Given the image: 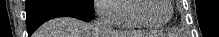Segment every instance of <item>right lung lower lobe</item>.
I'll use <instances>...</instances> for the list:
<instances>
[{
	"label": "right lung lower lobe",
	"instance_id": "obj_1",
	"mask_svg": "<svg viewBox=\"0 0 219 37\" xmlns=\"http://www.w3.org/2000/svg\"><path fill=\"white\" fill-rule=\"evenodd\" d=\"M94 12L92 0H26L28 36L52 18L67 16L88 22Z\"/></svg>",
	"mask_w": 219,
	"mask_h": 37
}]
</instances>
